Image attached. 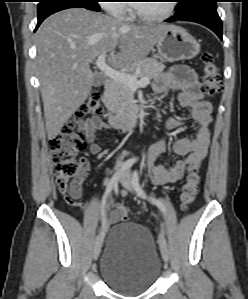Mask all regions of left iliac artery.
Wrapping results in <instances>:
<instances>
[{"label": "left iliac artery", "mask_w": 248, "mask_h": 299, "mask_svg": "<svg viewBox=\"0 0 248 299\" xmlns=\"http://www.w3.org/2000/svg\"><path fill=\"white\" fill-rule=\"evenodd\" d=\"M132 185H133V188L135 189V191L137 192V194L141 198L148 199L151 203L155 204L162 212L165 213L166 209H165L164 204L158 199L148 197L146 195L145 191L141 188L140 183H139L138 172L136 170L132 174Z\"/></svg>", "instance_id": "left-iliac-artery-1"}]
</instances>
